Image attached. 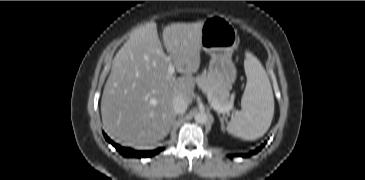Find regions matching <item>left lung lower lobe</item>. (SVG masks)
Returning <instances> with one entry per match:
<instances>
[{
    "label": "left lung lower lobe",
    "instance_id": "0a47b994",
    "mask_svg": "<svg viewBox=\"0 0 365 180\" xmlns=\"http://www.w3.org/2000/svg\"><path fill=\"white\" fill-rule=\"evenodd\" d=\"M264 145H261L260 147H258L256 150H254V151H251V153L250 154H256L258 151H260L261 150V148L263 147ZM243 157H245V156H248V155H242Z\"/></svg>",
    "mask_w": 365,
    "mask_h": 180
}]
</instances>
